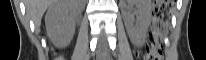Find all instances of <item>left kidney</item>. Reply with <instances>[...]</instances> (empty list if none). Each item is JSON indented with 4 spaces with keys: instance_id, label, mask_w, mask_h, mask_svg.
I'll list each match as a JSON object with an SVG mask.
<instances>
[{
    "instance_id": "5707ae66",
    "label": "left kidney",
    "mask_w": 206,
    "mask_h": 60,
    "mask_svg": "<svg viewBox=\"0 0 206 60\" xmlns=\"http://www.w3.org/2000/svg\"><path fill=\"white\" fill-rule=\"evenodd\" d=\"M137 6V19L134 20L130 11L124 13V22L131 40L140 44L144 38L148 25L150 23V0H131Z\"/></svg>"
}]
</instances>
